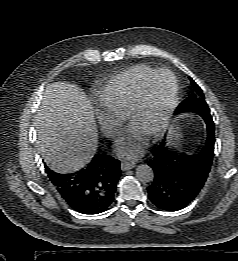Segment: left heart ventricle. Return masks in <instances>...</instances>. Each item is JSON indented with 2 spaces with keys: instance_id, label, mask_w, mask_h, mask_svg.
<instances>
[{
  "instance_id": "obj_1",
  "label": "left heart ventricle",
  "mask_w": 238,
  "mask_h": 261,
  "mask_svg": "<svg viewBox=\"0 0 238 261\" xmlns=\"http://www.w3.org/2000/svg\"><path fill=\"white\" fill-rule=\"evenodd\" d=\"M174 87L171 75L164 73L156 76L148 85L143 109L131 125L148 134L154 128L169 100Z\"/></svg>"
}]
</instances>
